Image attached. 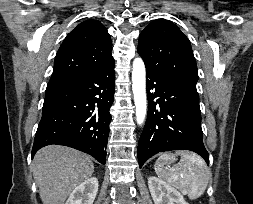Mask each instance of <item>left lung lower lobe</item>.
<instances>
[{
	"instance_id": "obj_1",
	"label": "left lung lower lobe",
	"mask_w": 253,
	"mask_h": 204,
	"mask_svg": "<svg viewBox=\"0 0 253 204\" xmlns=\"http://www.w3.org/2000/svg\"><path fill=\"white\" fill-rule=\"evenodd\" d=\"M147 86L149 109L138 144L139 167L158 152L171 150L194 151L209 164V154L202 141L196 87L177 83L151 71H147Z\"/></svg>"
}]
</instances>
